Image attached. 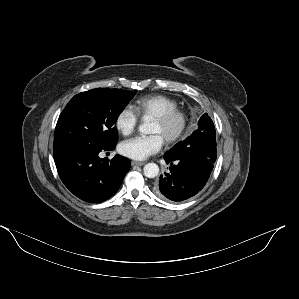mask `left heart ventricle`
<instances>
[{
  "mask_svg": "<svg viewBox=\"0 0 299 299\" xmlns=\"http://www.w3.org/2000/svg\"><path fill=\"white\" fill-rule=\"evenodd\" d=\"M177 126L176 121H172L166 125H162L157 123L156 121L152 120L151 126H150V133H157L160 134L163 138H165L167 135L172 133L174 129Z\"/></svg>",
  "mask_w": 299,
  "mask_h": 299,
  "instance_id": "b2bd125f",
  "label": "left heart ventricle"
}]
</instances>
